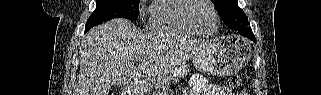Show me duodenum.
Masks as SVG:
<instances>
[{"label":"duodenum","instance_id":"410a0bca","mask_svg":"<svg viewBox=\"0 0 321 95\" xmlns=\"http://www.w3.org/2000/svg\"><path fill=\"white\" fill-rule=\"evenodd\" d=\"M122 95H136L138 93L134 92L130 88H126L121 92Z\"/></svg>","mask_w":321,"mask_h":95}]
</instances>
